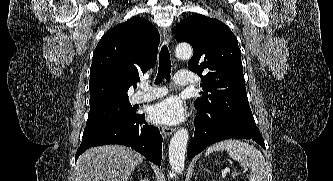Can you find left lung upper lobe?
Wrapping results in <instances>:
<instances>
[{
    "mask_svg": "<svg viewBox=\"0 0 333 181\" xmlns=\"http://www.w3.org/2000/svg\"><path fill=\"white\" fill-rule=\"evenodd\" d=\"M179 42L192 45L191 71L203 78L204 92L195 107L213 108L255 122L250 110L237 39L221 21L194 14L182 21L175 33Z\"/></svg>",
    "mask_w": 333,
    "mask_h": 181,
    "instance_id": "obj_1",
    "label": "left lung upper lobe"
}]
</instances>
